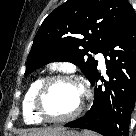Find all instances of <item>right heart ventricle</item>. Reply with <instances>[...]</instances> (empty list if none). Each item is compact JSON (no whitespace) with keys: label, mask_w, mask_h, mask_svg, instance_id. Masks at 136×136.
<instances>
[{"label":"right heart ventricle","mask_w":136,"mask_h":136,"mask_svg":"<svg viewBox=\"0 0 136 136\" xmlns=\"http://www.w3.org/2000/svg\"><path fill=\"white\" fill-rule=\"evenodd\" d=\"M43 77H37L35 78L28 86L24 97L22 101V111H23V117L27 124H40L42 122L41 119H39L34 110H33V98L34 95L43 81Z\"/></svg>","instance_id":"obj_1"}]
</instances>
